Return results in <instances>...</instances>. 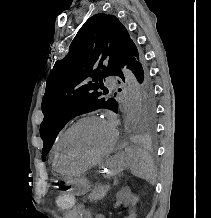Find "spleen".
I'll return each instance as SVG.
<instances>
[{
  "label": "spleen",
  "mask_w": 211,
  "mask_h": 218,
  "mask_svg": "<svg viewBox=\"0 0 211 218\" xmlns=\"http://www.w3.org/2000/svg\"><path fill=\"white\" fill-rule=\"evenodd\" d=\"M129 168L133 176L147 180L152 186L156 182V170L153 164L152 156L144 150H135L128 152Z\"/></svg>",
  "instance_id": "1"
}]
</instances>
